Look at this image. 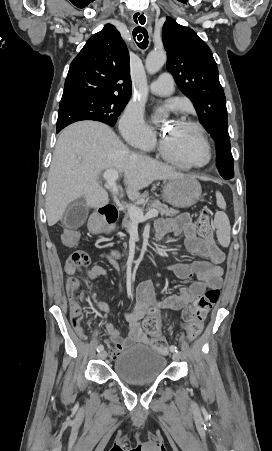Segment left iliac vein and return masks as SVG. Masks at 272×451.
I'll return each mask as SVG.
<instances>
[{"mask_svg": "<svg viewBox=\"0 0 272 451\" xmlns=\"http://www.w3.org/2000/svg\"><path fill=\"white\" fill-rule=\"evenodd\" d=\"M172 358H173V360H179V358H180L179 353L178 352L175 353Z\"/></svg>", "mask_w": 272, "mask_h": 451, "instance_id": "left-iliac-vein-1", "label": "left iliac vein"}]
</instances>
